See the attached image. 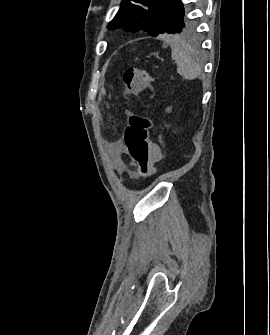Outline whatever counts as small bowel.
<instances>
[{
	"label": "small bowel",
	"instance_id": "c3829d8e",
	"mask_svg": "<svg viewBox=\"0 0 270 335\" xmlns=\"http://www.w3.org/2000/svg\"><path fill=\"white\" fill-rule=\"evenodd\" d=\"M110 147L112 151L115 153V155H119L120 153L124 151V144L121 140L114 141L113 143H111ZM120 171H126L130 175H132V171L130 170V165H122L120 167Z\"/></svg>",
	"mask_w": 270,
	"mask_h": 335
}]
</instances>
